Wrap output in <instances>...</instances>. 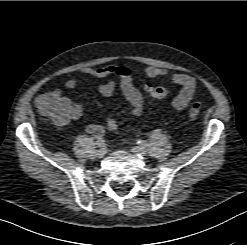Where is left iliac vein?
I'll use <instances>...</instances> for the list:
<instances>
[{
  "label": "left iliac vein",
  "instance_id": "left-iliac-vein-1",
  "mask_svg": "<svg viewBox=\"0 0 247 245\" xmlns=\"http://www.w3.org/2000/svg\"><path fill=\"white\" fill-rule=\"evenodd\" d=\"M132 151L141 155V156H145L147 154V149L145 146L143 145H137V146H134L132 148Z\"/></svg>",
  "mask_w": 247,
  "mask_h": 245
}]
</instances>
